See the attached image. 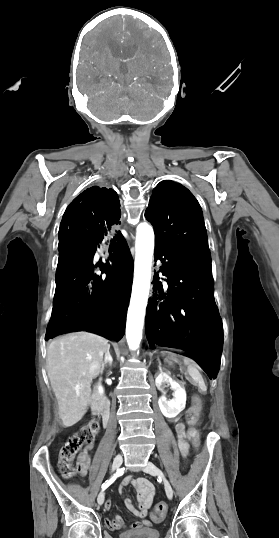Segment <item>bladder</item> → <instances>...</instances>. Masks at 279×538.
<instances>
[{"mask_svg": "<svg viewBox=\"0 0 279 538\" xmlns=\"http://www.w3.org/2000/svg\"><path fill=\"white\" fill-rule=\"evenodd\" d=\"M120 538H159L158 532H121Z\"/></svg>", "mask_w": 279, "mask_h": 538, "instance_id": "obj_1", "label": "bladder"}]
</instances>
